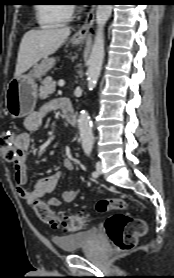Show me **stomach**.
<instances>
[{
    "instance_id": "0dacf381",
    "label": "stomach",
    "mask_w": 174,
    "mask_h": 278,
    "mask_svg": "<svg viewBox=\"0 0 174 278\" xmlns=\"http://www.w3.org/2000/svg\"><path fill=\"white\" fill-rule=\"evenodd\" d=\"M84 39L85 36L74 35L70 42L78 45ZM55 62L54 57H45L40 63H36L28 74H21L9 82L5 93V106L12 118L25 117L34 110L38 96L35 79L45 75Z\"/></svg>"
}]
</instances>
